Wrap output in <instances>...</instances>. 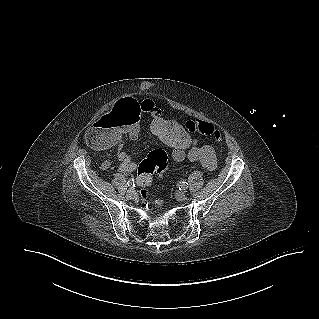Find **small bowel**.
Here are the masks:
<instances>
[{
  "mask_svg": "<svg viewBox=\"0 0 319 319\" xmlns=\"http://www.w3.org/2000/svg\"><path fill=\"white\" fill-rule=\"evenodd\" d=\"M141 112L152 117L157 113H162V110L151 100H145L141 103L134 98H124L121 101H115L114 108H108L107 112L94 117L93 124L86 132V141L93 150L106 152L116 147L117 158L120 161L118 169L121 172L129 173L136 168L123 147L124 141L129 138L135 140L139 137L142 130L140 127L142 121L139 117ZM190 135L199 134L190 133ZM169 148L175 162H182L185 158H188L192 162L201 164L204 169L210 172L217 167L215 151L209 145L198 146L188 152H180L175 148ZM106 166L107 164H104V167Z\"/></svg>",
  "mask_w": 319,
  "mask_h": 319,
  "instance_id": "1",
  "label": "small bowel"
}]
</instances>
